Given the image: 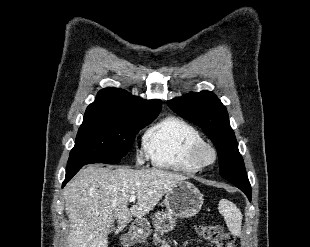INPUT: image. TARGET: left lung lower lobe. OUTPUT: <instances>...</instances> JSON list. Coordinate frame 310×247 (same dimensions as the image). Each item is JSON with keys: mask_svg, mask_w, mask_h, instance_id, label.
I'll return each mask as SVG.
<instances>
[{"mask_svg": "<svg viewBox=\"0 0 310 247\" xmlns=\"http://www.w3.org/2000/svg\"><path fill=\"white\" fill-rule=\"evenodd\" d=\"M228 181H230L233 185H235L240 190H242L248 197L249 201H251V185L249 183L248 177H244L238 180H228Z\"/></svg>", "mask_w": 310, "mask_h": 247, "instance_id": "obj_1", "label": "left lung lower lobe"}]
</instances>
